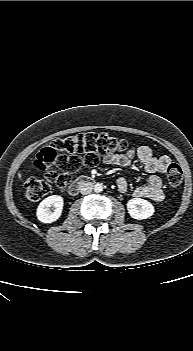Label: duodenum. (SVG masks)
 <instances>
[{
  "label": "duodenum",
  "mask_w": 193,
  "mask_h": 351,
  "mask_svg": "<svg viewBox=\"0 0 193 351\" xmlns=\"http://www.w3.org/2000/svg\"><path fill=\"white\" fill-rule=\"evenodd\" d=\"M93 182V178L90 176H80L77 179L74 180V182L69 186L68 188V194L70 196H74L75 194H77L78 190L83 187L86 186L90 183Z\"/></svg>",
  "instance_id": "410a0bca"
}]
</instances>
